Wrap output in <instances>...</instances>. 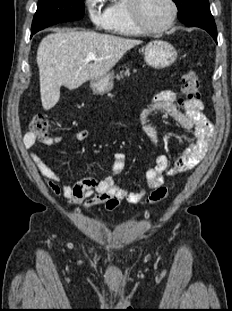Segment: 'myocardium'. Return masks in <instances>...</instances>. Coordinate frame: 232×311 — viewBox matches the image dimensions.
I'll list each match as a JSON object with an SVG mask.
<instances>
[{
  "mask_svg": "<svg viewBox=\"0 0 232 311\" xmlns=\"http://www.w3.org/2000/svg\"><path fill=\"white\" fill-rule=\"evenodd\" d=\"M171 7V16L169 20L162 26L157 28H151L147 26L141 18L140 13V4L141 0H128V11L130 15V19L134 26L145 34H158L167 31L170 29L178 16V7L175 0H167Z\"/></svg>",
  "mask_w": 232,
  "mask_h": 311,
  "instance_id": "myocardium-1",
  "label": "myocardium"
}]
</instances>
